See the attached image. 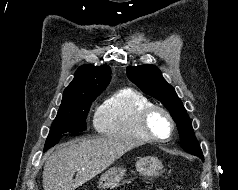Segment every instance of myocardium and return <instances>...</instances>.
Returning a JSON list of instances; mask_svg holds the SVG:
<instances>
[{
  "label": "myocardium",
  "instance_id": "obj_1",
  "mask_svg": "<svg viewBox=\"0 0 238 190\" xmlns=\"http://www.w3.org/2000/svg\"><path fill=\"white\" fill-rule=\"evenodd\" d=\"M157 113L163 115L168 120L169 123L168 133L164 136L157 134L151 126L152 117ZM139 122L142 130L150 139L160 142L168 140L172 136V133L175 128V122L170 112L165 108L154 104L146 107L141 112Z\"/></svg>",
  "mask_w": 238,
  "mask_h": 190
}]
</instances>
